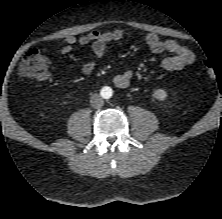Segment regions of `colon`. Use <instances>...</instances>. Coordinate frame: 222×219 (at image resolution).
Instances as JSON below:
<instances>
[{
    "mask_svg": "<svg viewBox=\"0 0 222 219\" xmlns=\"http://www.w3.org/2000/svg\"><path fill=\"white\" fill-rule=\"evenodd\" d=\"M49 68V58L37 49H30L21 59L17 74L22 80H43L49 76ZM204 71L208 78H215V69L208 61L204 62Z\"/></svg>",
    "mask_w": 222,
    "mask_h": 219,
    "instance_id": "obj_1",
    "label": "colon"
}]
</instances>
